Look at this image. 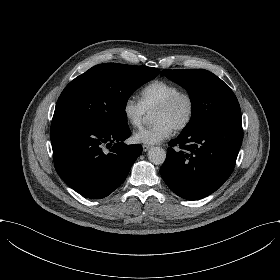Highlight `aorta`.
<instances>
[{
	"label": "aorta",
	"instance_id": "762f6f07",
	"mask_svg": "<svg viewBox=\"0 0 280 280\" xmlns=\"http://www.w3.org/2000/svg\"><path fill=\"white\" fill-rule=\"evenodd\" d=\"M150 121V117H145L143 123ZM148 159L155 165H161L166 159V151L161 147H153L148 152Z\"/></svg>",
	"mask_w": 280,
	"mask_h": 280
}]
</instances>
